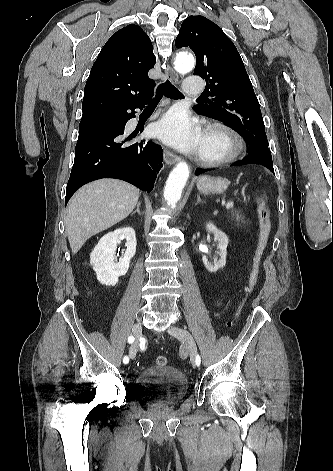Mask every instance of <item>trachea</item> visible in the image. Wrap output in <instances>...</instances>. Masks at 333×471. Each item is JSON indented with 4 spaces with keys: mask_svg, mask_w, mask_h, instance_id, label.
Wrapping results in <instances>:
<instances>
[{
    "mask_svg": "<svg viewBox=\"0 0 333 471\" xmlns=\"http://www.w3.org/2000/svg\"><path fill=\"white\" fill-rule=\"evenodd\" d=\"M163 95L175 100L183 98L182 93L168 80L158 86L153 102H158Z\"/></svg>",
    "mask_w": 333,
    "mask_h": 471,
    "instance_id": "3493384b",
    "label": "trachea"
}]
</instances>
